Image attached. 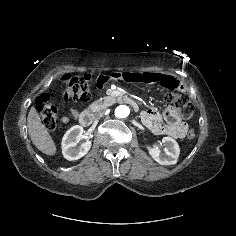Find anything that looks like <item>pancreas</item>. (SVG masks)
I'll return each mask as SVG.
<instances>
[{
	"mask_svg": "<svg viewBox=\"0 0 236 236\" xmlns=\"http://www.w3.org/2000/svg\"><path fill=\"white\" fill-rule=\"evenodd\" d=\"M110 101L111 98L110 97H104V98H100L99 100L93 102L88 109L93 111V112H97L100 111L104 108H106L107 106L110 105Z\"/></svg>",
	"mask_w": 236,
	"mask_h": 236,
	"instance_id": "cf45deb5",
	"label": "pancreas"
}]
</instances>
